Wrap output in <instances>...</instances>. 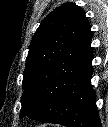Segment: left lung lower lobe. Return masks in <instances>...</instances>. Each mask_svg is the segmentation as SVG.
Listing matches in <instances>:
<instances>
[{"instance_id": "0a47b994", "label": "left lung lower lobe", "mask_w": 108, "mask_h": 127, "mask_svg": "<svg viewBox=\"0 0 108 127\" xmlns=\"http://www.w3.org/2000/svg\"><path fill=\"white\" fill-rule=\"evenodd\" d=\"M92 37L91 26L86 19L69 51L60 58L65 67L62 84L37 120L69 127H101L96 94L91 84Z\"/></svg>"}]
</instances>
